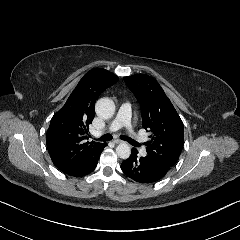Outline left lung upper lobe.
I'll return each instance as SVG.
<instances>
[{"instance_id": "obj_1", "label": "left lung upper lobe", "mask_w": 240, "mask_h": 240, "mask_svg": "<svg viewBox=\"0 0 240 240\" xmlns=\"http://www.w3.org/2000/svg\"><path fill=\"white\" fill-rule=\"evenodd\" d=\"M141 106L142 126L152 132L147 156L171 168L179 159L184 144V127L173 104L158 82L145 74L124 77Z\"/></svg>"}]
</instances>
